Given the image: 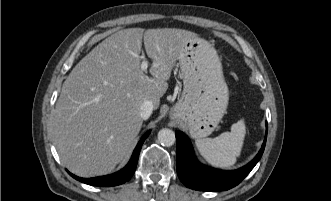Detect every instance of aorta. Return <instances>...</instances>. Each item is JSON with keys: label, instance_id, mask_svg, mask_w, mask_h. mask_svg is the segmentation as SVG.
Segmentation results:
<instances>
[{"label": "aorta", "instance_id": "obj_1", "mask_svg": "<svg viewBox=\"0 0 331 201\" xmlns=\"http://www.w3.org/2000/svg\"><path fill=\"white\" fill-rule=\"evenodd\" d=\"M158 141L163 146L166 147L172 146L176 141L174 131L168 128L161 129L158 132Z\"/></svg>", "mask_w": 331, "mask_h": 201}]
</instances>
